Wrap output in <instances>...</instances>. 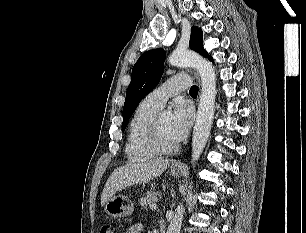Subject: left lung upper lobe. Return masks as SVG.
<instances>
[{
  "label": "left lung upper lobe",
  "mask_w": 306,
  "mask_h": 233,
  "mask_svg": "<svg viewBox=\"0 0 306 233\" xmlns=\"http://www.w3.org/2000/svg\"><path fill=\"white\" fill-rule=\"evenodd\" d=\"M189 46L199 54L212 57L204 50L202 45V30L197 27L191 29ZM166 52L161 49H153L143 53L132 69V80L127 89L126 100L123 108V130L138 106L139 102L158 84L163 74Z\"/></svg>",
  "instance_id": "left-lung-upper-lobe-1"
}]
</instances>
